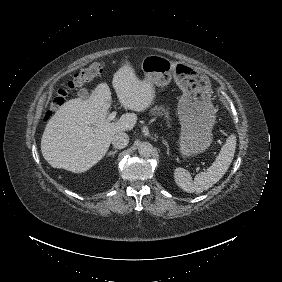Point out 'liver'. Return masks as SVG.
<instances>
[{
	"instance_id": "1",
	"label": "liver",
	"mask_w": 282,
	"mask_h": 282,
	"mask_svg": "<svg viewBox=\"0 0 282 282\" xmlns=\"http://www.w3.org/2000/svg\"><path fill=\"white\" fill-rule=\"evenodd\" d=\"M112 86L122 106L132 110L146 108L153 98L148 84L138 82L128 69L115 73ZM111 96L109 86L101 84L89 101L72 99L59 107L41 139L43 157L50 165L84 172L105 155L113 135L133 127L134 113H125L117 122L106 124Z\"/></svg>"
}]
</instances>
